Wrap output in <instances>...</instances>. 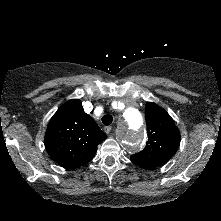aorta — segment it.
I'll use <instances>...</instances> for the list:
<instances>
[{
    "instance_id": "aorta-1",
    "label": "aorta",
    "mask_w": 221,
    "mask_h": 221,
    "mask_svg": "<svg viewBox=\"0 0 221 221\" xmlns=\"http://www.w3.org/2000/svg\"><path fill=\"white\" fill-rule=\"evenodd\" d=\"M117 136L129 152L138 151L145 142V123L141 112L128 107L119 124Z\"/></svg>"
}]
</instances>
